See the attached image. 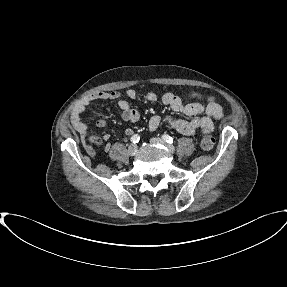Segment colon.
I'll use <instances>...</instances> for the list:
<instances>
[{
    "label": "colon",
    "mask_w": 287,
    "mask_h": 287,
    "mask_svg": "<svg viewBox=\"0 0 287 287\" xmlns=\"http://www.w3.org/2000/svg\"><path fill=\"white\" fill-rule=\"evenodd\" d=\"M87 140H88V143L90 144L98 143V138L96 136H89ZM214 144H215V140L210 135H205L201 140V147L206 151L211 150L214 147Z\"/></svg>",
    "instance_id": "colon-1"
}]
</instances>
